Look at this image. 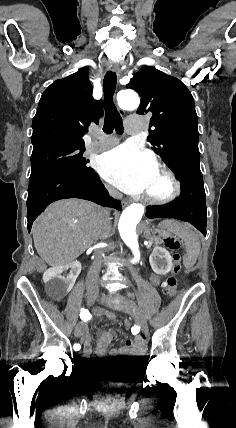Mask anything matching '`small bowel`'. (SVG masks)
<instances>
[{
    "mask_svg": "<svg viewBox=\"0 0 236 428\" xmlns=\"http://www.w3.org/2000/svg\"><path fill=\"white\" fill-rule=\"evenodd\" d=\"M152 282L157 285L159 279L154 277ZM103 316L109 320L115 319V315L110 312H104ZM76 336L84 343V355L89 358L92 354L91 337L88 326L85 323H79L75 329ZM115 334L112 330H104L98 333V340L95 352L97 355H105L108 352V346L113 340ZM145 337L143 335L136 336L134 339L127 340L125 345L118 349H112L109 354L115 357H126L132 360H139L145 351Z\"/></svg>",
    "mask_w": 236,
    "mask_h": 428,
    "instance_id": "small-bowel-1",
    "label": "small bowel"
}]
</instances>
